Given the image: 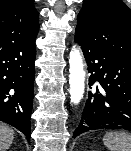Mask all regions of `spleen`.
Here are the masks:
<instances>
[{
    "instance_id": "obj_1",
    "label": "spleen",
    "mask_w": 131,
    "mask_h": 151,
    "mask_svg": "<svg viewBox=\"0 0 131 151\" xmlns=\"http://www.w3.org/2000/svg\"><path fill=\"white\" fill-rule=\"evenodd\" d=\"M103 142L110 151H131V135L124 132H108Z\"/></svg>"
}]
</instances>
